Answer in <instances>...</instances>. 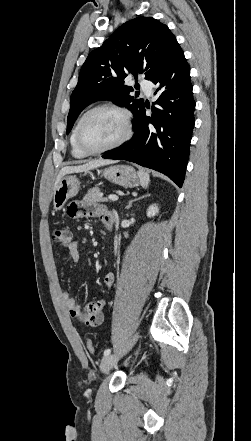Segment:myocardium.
<instances>
[{
  "mask_svg": "<svg viewBox=\"0 0 251 441\" xmlns=\"http://www.w3.org/2000/svg\"><path fill=\"white\" fill-rule=\"evenodd\" d=\"M102 109L113 110L121 115L122 120H123V124H124V132L121 135V137L119 139H117L115 142H113L112 144L105 146L103 148H100V149L92 150V149L85 147L84 144L82 143L81 130H82L83 123H84L85 119L87 118V116L95 111L102 110ZM131 135H132V118H131L130 112L126 108H124L120 105L114 104V103H101V104L95 105L92 108L88 109L80 117V119L77 123V126H76L75 140H76V144H77L78 148L86 155H98V154H102V153H105V152H108V151H111L113 149L120 147L126 141H128L130 139Z\"/></svg>",
  "mask_w": 251,
  "mask_h": 441,
  "instance_id": "1",
  "label": "myocardium"
}]
</instances>
